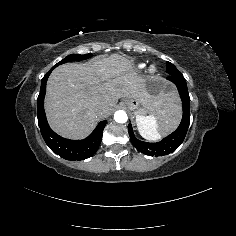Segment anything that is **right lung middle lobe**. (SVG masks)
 I'll return each instance as SVG.
<instances>
[{
  "label": "right lung middle lobe",
  "mask_w": 236,
  "mask_h": 236,
  "mask_svg": "<svg viewBox=\"0 0 236 236\" xmlns=\"http://www.w3.org/2000/svg\"><path fill=\"white\" fill-rule=\"evenodd\" d=\"M92 56V54H85V55H78V54H73V55H69L67 57H65L62 61H60L59 63H57L53 68L66 63V62H70V61H80V60H85L88 59Z\"/></svg>",
  "instance_id": "right-lung-middle-lobe-1"
}]
</instances>
